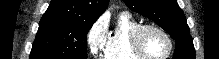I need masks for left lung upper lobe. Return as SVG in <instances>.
I'll return each instance as SVG.
<instances>
[{"instance_id":"left-lung-upper-lobe-1","label":"left lung upper lobe","mask_w":219,"mask_h":59,"mask_svg":"<svg viewBox=\"0 0 219 59\" xmlns=\"http://www.w3.org/2000/svg\"><path fill=\"white\" fill-rule=\"evenodd\" d=\"M123 1L131 10L153 20L176 40L173 59H195L190 30L177 0Z\"/></svg>"}]
</instances>
